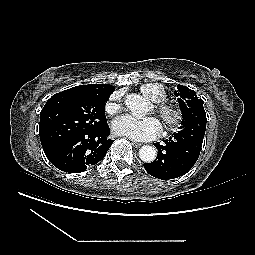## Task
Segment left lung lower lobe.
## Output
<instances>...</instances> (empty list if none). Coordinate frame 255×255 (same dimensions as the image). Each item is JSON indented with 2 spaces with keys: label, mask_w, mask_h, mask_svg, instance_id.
<instances>
[{
  "label": "left lung lower lobe",
  "mask_w": 255,
  "mask_h": 255,
  "mask_svg": "<svg viewBox=\"0 0 255 255\" xmlns=\"http://www.w3.org/2000/svg\"><path fill=\"white\" fill-rule=\"evenodd\" d=\"M206 122L191 125L164 140V144H155L158 149L157 160L145 163V170L152 176L162 179H174L188 172L196 163L205 134Z\"/></svg>",
  "instance_id": "obj_1"
}]
</instances>
